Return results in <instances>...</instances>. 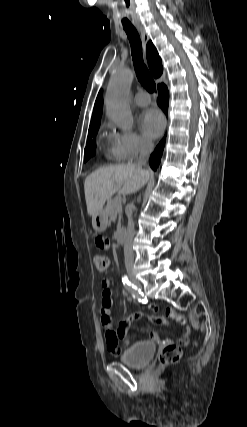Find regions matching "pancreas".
Here are the masks:
<instances>
[{"instance_id": "pancreas-1", "label": "pancreas", "mask_w": 247, "mask_h": 427, "mask_svg": "<svg viewBox=\"0 0 247 427\" xmlns=\"http://www.w3.org/2000/svg\"><path fill=\"white\" fill-rule=\"evenodd\" d=\"M104 211L111 219H115L117 214H119L118 227H120V219L122 214L121 202H118L116 198L109 199Z\"/></svg>"}]
</instances>
